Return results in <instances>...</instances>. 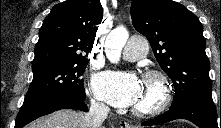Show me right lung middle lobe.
<instances>
[{"label": "right lung middle lobe", "instance_id": "obj_1", "mask_svg": "<svg viewBox=\"0 0 221 128\" xmlns=\"http://www.w3.org/2000/svg\"><path fill=\"white\" fill-rule=\"evenodd\" d=\"M88 60L62 64L33 72V80L24 101L41 96L67 92L80 98H85L83 74Z\"/></svg>", "mask_w": 221, "mask_h": 128}]
</instances>
